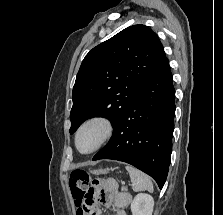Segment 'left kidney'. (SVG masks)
<instances>
[{
	"label": "left kidney",
	"instance_id": "5707ae66",
	"mask_svg": "<svg viewBox=\"0 0 223 215\" xmlns=\"http://www.w3.org/2000/svg\"><path fill=\"white\" fill-rule=\"evenodd\" d=\"M154 199L149 193H138L131 203L133 215H152Z\"/></svg>",
	"mask_w": 223,
	"mask_h": 215
}]
</instances>
